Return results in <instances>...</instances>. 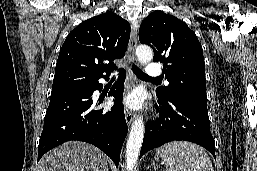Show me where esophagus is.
<instances>
[{
    "label": "esophagus",
    "instance_id": "obj_1",
    "mask_svg": "<svg viewBox=\"0 0 257 171\" xmlns=\"http://www.w3.org/2000/svg\"><path fill=\"white\" fill-rule=\"evenodd\" d=\"M138 28H139L138 21H133L131 24V38H130V44H129V59L132 64L136 62L135 50H136L137 41H138ZM128 73L131 77L132 72L130 69H128ZM134 116L135 115L131 110L125 109V118L129 126L131 125L134 119Z\"/></svg>",
    "mask_w": 257,
    "mask_h": 171
}]
</instances>
